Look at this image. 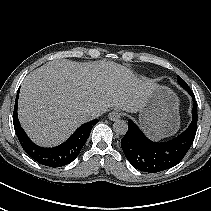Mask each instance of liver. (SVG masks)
<instances>
[{
    "label": "liver",
    "mask_w": 211,
    "mask_h": 211,
    "mask_svg": "<svg viewBox=\"0 0 211 211\" xmlns=\"http://www.w3.org/2000/svg\"><path fill=\"white\" fill-rule=\"evenodd\" d=\"M155 83L115 62L50 61L31 72L20 89L18 115L28 136L42 146L66 140L93 110L140 111Z\"/></svg>",
    "instance_id": "6515ba94"
}]
</instances>
